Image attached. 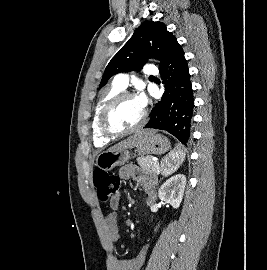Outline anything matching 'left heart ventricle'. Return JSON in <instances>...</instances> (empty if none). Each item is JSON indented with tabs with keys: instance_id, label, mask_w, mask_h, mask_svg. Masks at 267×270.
<instances>
[{
	"instance_id": "obj_1",
	"label": "left heart ventricle",
	"mask_w": 267,
	"mask_h": 270,
	"mask_svg": "<svg viewBox=\"0 0 267 270\" xmlns=\"http://www.w3.org/2000/svg\"><path fill=\"white\" fill-rule=\"evenodd\" d=\"M142 113L135 99H126L113 110L110 125L117 131L130 129L140 121Z\"/></svg>"
}]
</instances>
